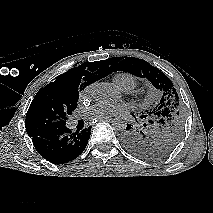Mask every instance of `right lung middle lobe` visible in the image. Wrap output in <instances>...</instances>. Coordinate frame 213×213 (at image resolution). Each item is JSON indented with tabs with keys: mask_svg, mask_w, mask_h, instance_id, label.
Here are the masks:
<instances>
[{
	"mask_svg": "<svg viewBox=\"0 0 213 213\" xmlns=\"http://www.w3.org/2000/svg\"><path fill=\"white\" fill-rule=\"evenodd\" d=\"M78 90L40 89L26 114V131L30 137L65 127L66 120L77 108Z\"/></svg>",
	"mask_w": 213,
	"mask_h": 213,
	"instance_id": "right-lung-middle-lobe-1",
	"label": "right lung middle lobe"
}]
</instances>
